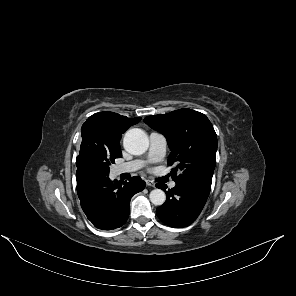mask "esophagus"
Returning a JSON list of instances; mask_svg holds the SVG:
<instances>
[{"instance_id":"1","label":"esophagus","mask_w":296,"mask_h":296,"mask_svg":"<svg viewBox=\"0 0 296 296\" xmlns=\"http://www.w3.org/2000/svg\"><path fill=\"white\" fill-rule=\"evenodd\" d=\"M146 184L150 187H155V182L153 180H147Z\"/></svg>"}]
</instances>
